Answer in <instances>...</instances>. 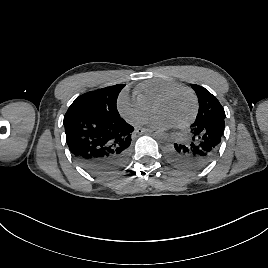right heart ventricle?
<instances>
[{"mask_svg":"<svg viewBox=\"0 0 268 268\" xmlns=\"http://www.w3.org/2000/svg\"><path fill=\"white\" fill-rule=\"evenodd\" d=\"M176 86H179L176 81L165 77H158L138 84L134 93L138 99L144 101L152 108L164 93Z\"/></svg>","mask_w":268,"mask_h":268,"instance_id":"1","label":"right heart ventricle"}]
</instances>
